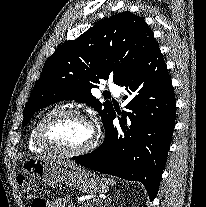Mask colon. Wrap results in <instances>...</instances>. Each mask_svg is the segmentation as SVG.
I'll return each instance as SVG.
<instances>
[{
  "label": "colon",
  "mask_w": 206,
  "mask_h": 207,
  "mask_svg": "<svg viewBox=\"0 0 206 207\" xmlns=\"http://www.w3.org/2000/svg\"><path fill=\"white\" fill-rule=\"evenodd\" d=\"M18 183L25 197L31 201V207H46L44 199L37 194V184L33 178L19 174Z\"/></svg>",
  "instance_id": "1"
}]
</instances>
